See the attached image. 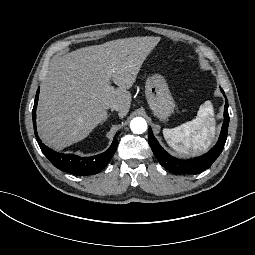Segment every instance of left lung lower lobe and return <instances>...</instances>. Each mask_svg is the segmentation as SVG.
I'll use <instances>...</instances> for the list:
<instances>
[{"mask_svg": "<svg viewBox=\"0 0 255 255\" xmlns=\"http://www.w3.org/2000/svg\"><path fill=\"white\" fill-rule=\"evenodd\" d=\"M221 91L225 96L224 91L222 89ZM228 125L229 114H228V102L226 99L224 110V122L217 144L208 153L194 159L178 160L170 156L159 145V143L153 136V133L150 128L148 130V142L150 147L152 148L155 157L158 159L160 164L170 172H173L175 174H199L203 172L205 169L209 168L222 152L227 139Z\"/></svg>", "mask_w": 255, "mask_h": 255, "instance_id": "obj_1", "label": "left lung lower lobe"}]
</instances>
